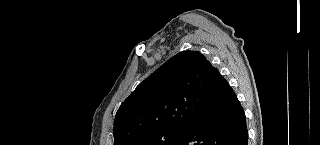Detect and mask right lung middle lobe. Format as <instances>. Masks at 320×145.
<instances>
[{
  "label": "right lung middle lobe",
  "instance_id": "1",
  "mask_svg": "<svg viewBox=\"0 0 320 145\" xmlns=\"http://www.w3.org/2000/svg\"><path fill=\"white\" fill-rule=\"evenodd\" d=\"M183 131L184 128H169L155 131L139 138L131 145H172Z\"/></svg>",
  "mask_w": 320,
  "mask_h": 145
}]
</instances>
